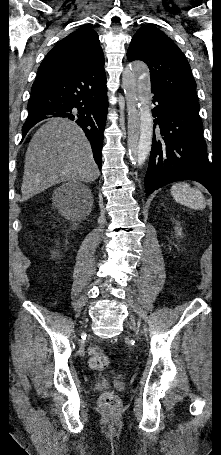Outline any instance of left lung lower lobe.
Segmentation results:
<instances>
[{
    "label": "left lung lower lobe",
    "mask_w": 221,
    "mask_h": 455,
    "mask_svg": "<svg viewBox=\"0 0 221 455\" xmlns=\"http://www.w3.org/2000/svg\"><path fill=\"white\" fill-rule=\"evenodd\" d=\"M155 117L149 166L144 178L145 192L178 180H195L212 193V169L202 136L199 110L151 87Z\"/></svg>",
    "instance_id": "0a47b994"
}]
</instances>
